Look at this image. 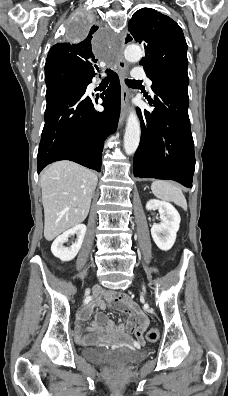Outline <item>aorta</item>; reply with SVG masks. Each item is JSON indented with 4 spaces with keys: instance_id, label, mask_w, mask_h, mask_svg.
I'll return each mask as SVG.
<instances>
[{
    "instance_id": "aorta-1",
    "label": "aorta",
    "mask_w": 228,
    "mask_h": 396,
    "mask_svg": "<svg viewBox=\"0 0 228 396\" xmlns=\"http://www.w3.org/2000/svg\"><path fill=\"white\" fill-rule=\"evenodd\" d=\"M125 58L130 61H139L142 57V50L137 45H129L124 50ZM140 123L135 110H132L128 116L126 130L124 135V150L128 155L133 154L140 142Z\"/></svg>"
}]
</instances>
